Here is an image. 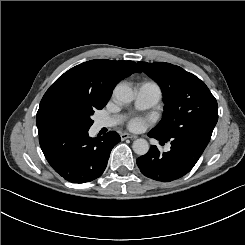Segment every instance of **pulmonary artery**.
I'll list each match as a JSON object with an SVG mask.
<instances>
[{"instance_id":"pulmonary-artery-1","label":"pulmonary artery","mask_w":245,"mask_h":245,"mask_svg":"<svg viewBox=\"0 0 245 245\" xmlns=\"http://www.w3.org/2000/svg\"><path fill=\"white\" fill-rule=\"evenodd\" d=\"M161 96L160 87L153 81L141 82L135 87V102L138 108L146 109L154 106ZM120 121V117L98 118L93 124V131L97 132L104 127L115 126Z\"/></svg>"}]
</instances>
